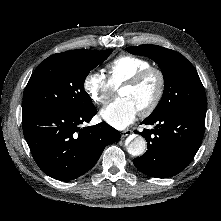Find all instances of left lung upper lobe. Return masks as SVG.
I'll list each match as a JSON object with an SVG mask.
<instances>
[{
  "label": "left lung upper lobe",
  "instance_id": "left-lung-upper-lobe-1",
  "mask_svg": "<svg viewBox=\"0 0 221 221\" xmlns=\"http://www.w3.org/2000/svg\"><path fill=\"white\" fill-rule=\"evenodd\" d=\"M126 50L131 54L151 58L161 68L164 93L150 116L173 111L206 113L204 87L196 69L183 55L158 45L131 46Z\"/></svg>",
  "mask_w": 221,
  "mask_h": 221
}]
</instances>
